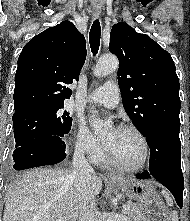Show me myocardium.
<instances>
[{"label":"myocardium","mask_w":190,"mask_h":221,"mask_svg":"<svg viewBox=\"0 0 190 221\" xmlns=\"http://www.w3.org/2000/svg\"><path fill=\"white\" fill-rule=\"evenodd\" d=\"M116 129L131 131V132L135 133L140 138V140L143 144V147H144L143 159L136 166H127V165L123 164L122 162H120L115 157V155L113 154L111 149L104 142V152H105V156H106L107 160L113 166L117 167L120 170L126 171V172L134 173V172H139V171L143 170L147 166L149 159H150V145H149V141H148L147 137L139 128H137L136 126L131 125V124H121Z\"/></svg>","instance_id":"f54148a6"}]
</instances>
